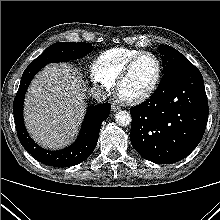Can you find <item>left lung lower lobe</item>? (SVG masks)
I'll return each mask as SVG.
<instances>
[{"instance_id": "0a47b994", "label": "left lung lower lobe", "mask_w": 220, "mask_h": 220, "mask_svg": "<svg viewBox=\"0 0 220 220\" xmlns=\"http://www.w3.org/2000/svg\"><path fill=\"white\" fill-rule=\"evenodd\" d=\"M208 110L203 77L197 67L191 63L172 68L164 73L148 100L131 108V143L151 162H178L201 141Z\"/></svg>"}]
</instances>
